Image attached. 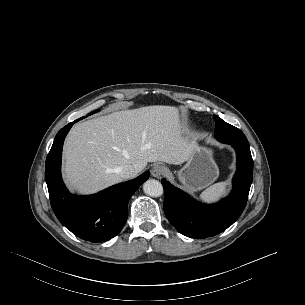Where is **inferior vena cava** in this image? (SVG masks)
I'll list each match as a JSON object with an SVG mask.
<instances>
[{
	"mask_svg": "<svg viewBox=\"0 0 305 305\" xmlns=\"http://www.w3.org/2000/svg\"><path fill=\"white\" fill-rule=\"evenodd\" d=\"M135 171H136V169L132 165H125L116 170L117 174L122 179H128V178L132 177L134 175Z\"/></svg>",
	"mask_w": 305,
	"mask_h": 305,
	"instance_id": "1",
	"label": "inferior vena cava"
}]
</instances>
